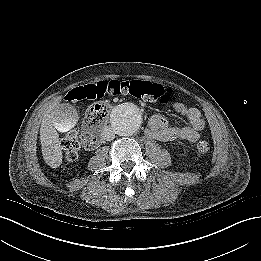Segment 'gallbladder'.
Wrapping results in <instances>:
<instances>
[{
	"label": "gallbladder",
	"instance_id": "gallbladder-1",
	"mask_svg": "<svg viewBox=\"0 0 261 261\" xmlns=\"http://www.w3.org/2000/svg\"><path fill=\"white\" fill-rule=\"evenodd\" d=\"M76 113V109L69 103L59 104L51 114V122L59 132L64 133L77 123Z\"/></svg>",
	"mask_w": 261,
	"mask_h": 261
}]
</instances>
